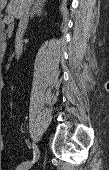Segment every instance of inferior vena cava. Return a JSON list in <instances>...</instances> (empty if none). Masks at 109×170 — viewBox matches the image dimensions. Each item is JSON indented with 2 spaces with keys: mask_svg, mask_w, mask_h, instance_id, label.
I'll use <instances>...</instances> for the list:
<instances>
[{
  "mask_svg": "<svg viewBox=\"0 0 109 170\" xmlns=\"http://www.w3.org/2000/svg\"><path fill=\"white\" fill-rule=\"evenodd\" d=\"M34 0H23L22 1V10L20 14V21L18 25V30L16 33L15 39V53L17 55V59L20 57L23 49L22 37L23 33L28 25L29 20V10Z\"/></svg>",
  "mask_w": 109,
  "mask_h": 170,
  "instance_id": "inferior-vena-cava-1",
  "label": "inferior vena cava"
}]
</instances>
